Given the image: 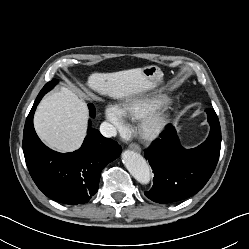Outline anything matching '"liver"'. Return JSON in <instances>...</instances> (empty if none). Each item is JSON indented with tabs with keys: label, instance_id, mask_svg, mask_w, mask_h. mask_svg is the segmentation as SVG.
Here are the masks:
<instances>
[{
	"label": "liver",
	"instance_id": "1",
	"mask_svg": "<svg viewBox=\"0 0 249 249\" xmlns=\"http://www.w3.org/2000/svg\"><path fill=\"white\" fill-rule=\"evenodd\" d=\"M86 86L101 95L122 100L151 89L153 84L146 79L141 69H130L93 73ZM87 121L85 103L64 87L43 98L34 115V127L39 137L59 152H73L81 146Z\"/></svg>",
	"mask_w": 249,
	"mask_h": 249
}]
</instances>
